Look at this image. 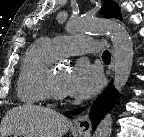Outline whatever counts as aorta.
<instances>
[{
    "instance_id": "obj_1",
    "label": "aorta",
    "mask_w": 144,
    "mask_h": 137,
    "mask_svg": "<svg viewBox=\"0 0 144 137\" xmlns=\"http://www.w3.org/2000/svg\"><path fill=\"white\" fill-rule=\"evenodd\" d=\"M66 28L75 34L80 32H108L114 48V87L121 92L130 76L133 63V44L126 29L115 20L75 18L70 19ZM113 110L106 114L97 126L94 137H110Z\"/></svg>"
}]
</instances>
